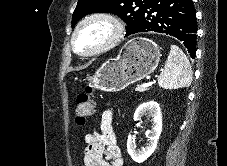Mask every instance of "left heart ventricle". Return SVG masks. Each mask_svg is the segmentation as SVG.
I'll return each mask as SVG.
<instances>
[{"label": "left heart ventricle", "instance_id": "b2bd125f", "mask_svg": "<svg viewBox=\"0 0 227 166\" xmlns=\"http://www.w3.org/2000/svg\"><path fill=\"white\" fill-rule=\"evenodd\" d=\"M111 26L104 21H93L81 29L76 45L81 51H91L106 42L112 35Z\"/></svg>", "mask_w": 227, "mask_h": 166}]
</instances>
